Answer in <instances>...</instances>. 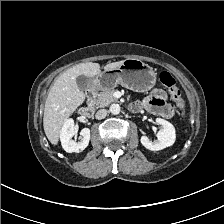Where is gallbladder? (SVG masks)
Listing matches in <instances>:
<instances>
[{
	"label": "gallbladder",
	"instance_id": "obj_1",
	"mask_svg": "<svg viewBox=\"0 0 224 224\" xmlns=\"http://www.w3.org/2000/svg\"><path fill=\"white\" fill-rule=\"evenodd\" d=\"M89 81H90L89 78L86 77L85 75H80L76 78V84L81 91L87 90Z\"/></svg>",
	"mask_w": 224,
	"mask_h": 224
}]
</instances>
